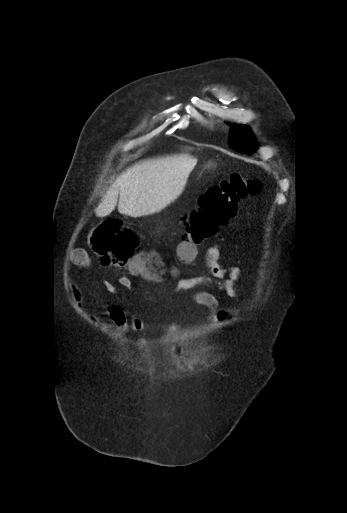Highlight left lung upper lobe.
I'll return each mask as SVG.
<instances>
[{
    "instance_id": "5c2ea615",
    "label": "left lung upper lobe",
    "mask_w": 347,
    "mask_h": 513,
    "mask_svg": "<svg viewBox=\"0 0 347 513\" xmlns=\"http://www.w3.org/2000/svg\"><path fill=\"white\" fill-rule=\"evenodd\" d=\"M229 138L230 147L241 153L251 155L250 151L257 146L250 129L245 126L233 127L230 131Z\"/></svg>"
}]
</instances>
